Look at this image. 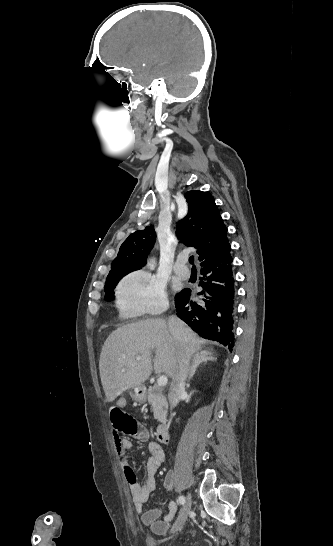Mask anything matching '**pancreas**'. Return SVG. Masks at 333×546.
Wrapping results in <instances>:
<instances>
[{
	"instance_id": "pancreas-1",
	"label": "pancreas",
	"mask_w": 333,
	"mask_h": 546,
	"mask_svg": "<svg viewBox=\"0 0 333 546\" xmlns=\"http://www.w3.org/2000/svg\"><path fill=\"white\" fill-rule=\"evenodd\" d=\"M148 402L153 408L154 418L161 421L167 414L168 404L162 388L155 384L148 389Z\"/></svg>"
}]
</instances>
